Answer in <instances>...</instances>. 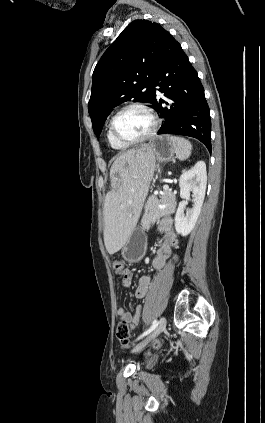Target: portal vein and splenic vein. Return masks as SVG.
I'll list each match as a JSON object with an SVG mask.
<instances>
[{
	"instance_id": "1",
	"label": "portal vein and splenic vein",
	"mask_w": 265,
	"mask_h": 423,
	"mask_svg": "<svg viewBox=\"0 0 265 423\" xmlns=\"http://www.w3.org/2000/svg\"><path fill=\"white\" fill-rule=\"evenodd\" d=\"M163 189L166 191V190H169V186L167 185V184H165L164 186H163Z\"/></svg>"
}]
</instances>
